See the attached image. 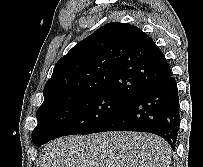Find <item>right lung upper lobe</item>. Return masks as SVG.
Returning a JSON list of instances; mask_svg holds the SVG:
<instances>
[{"mask_svg":"<svg viewBox=\"0 0 203 167\" xmlns=\"http://www.w3.org/2000/svg\"><path fill=\"white\" fill-rule=\"evenodd\" d=\"M170 74L164 54L152 38L134 25L108 23L59 59L37 111L97 93L131 100Z\"/></svg>","mask_w":203,"mask_h":167,"instance_id":"cb5924a9","label":"right lung upper lobe"}]
</instances>
